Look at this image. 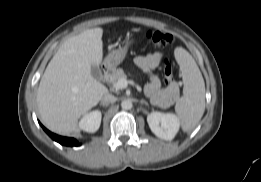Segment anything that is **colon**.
<instances>
[{"instance_id":"obj_1","label":"colon","mask_w":261,"mask_h":182,"mask_svg":"<svg viewBox=\"0 0 261 182\" xmlns=\"http://www.w3.org/2000/svg\"><path fill=\"white\" fill-rule=\"evenodd\" d=\"M146 38L150 43L159 48L167 47L173 42L171 34L158 30L147 31ZM163 76L165 83L169 84L173 81V69L168 60L164 61Z\"/></svg>"}]
</instances>
